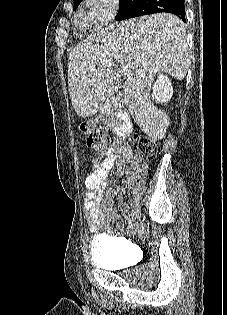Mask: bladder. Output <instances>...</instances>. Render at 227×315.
I'll list each match as a JSON object with an SVG mask.
<instances>
[{"instance_id": "obj_1", "label": "bladder", "mask_w": 227, "mask_h": 315, "mask_svg": "<svg viewBox=\"0 0 227 315\" xmlns=\"http://www.w3.org/2000/svg\"><path fill=\"white\" fill-rule=\"evenodd\" d=\"M129 246L130 242L124 239L95 236L91 240L90 261L105 269L122 267L127 263L122 250Z\"/></svg>"}]
</instances>
